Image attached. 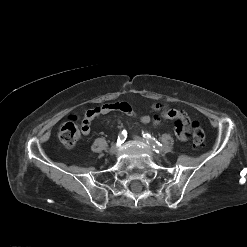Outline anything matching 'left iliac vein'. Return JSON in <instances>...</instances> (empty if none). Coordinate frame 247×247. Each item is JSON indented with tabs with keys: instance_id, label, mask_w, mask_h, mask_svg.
Here are the masks:
<instances>
[{
	"instance_id": "obj_1",
	"label": "left iliac vein",
	"mask_w": 247,
	"mask_h": 247,
	"mask_svg": "<svg viewBox=\"0 0 247 247\" xmlns=\"http://www.w3.org/2000/svg\"><path fill=\"white\" fill-rule=\"evenodd\" d=\"M136 141L140 142V143H143L145 146H146V141L144 138L140 137V136H134L133 137ZM147 150L149 152V154L151 155L152 158H154L155 160H160V156L157 155L153 150L152 148H150L149 146H147Z\"/></svg>"
}]
</instances>
